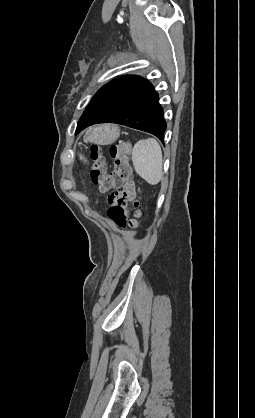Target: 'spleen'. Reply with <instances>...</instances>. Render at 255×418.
<instances>
[{
  "mask_svg": "<svg viewBox=\"0 0 255 418\" xmlns=\"http://www.w3.org/2000/svg\"><path fill=\"white\" fill-rule=\"evenodd\" d=\"M132 162L136 173L151 185L163 177V158L159 143L154 138L139 140L132 149Z\"/></svg>",
  "mask_w": 255,
  "mask_h": 418,
  "instance_id": "3e777b00",
  "label": "spleen"
}]
</instances>
